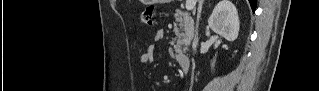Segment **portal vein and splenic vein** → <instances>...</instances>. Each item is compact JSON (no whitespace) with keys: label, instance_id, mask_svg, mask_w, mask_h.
Segmentation results:
<instances>
[{"label":"portal vein and splenic vein","instance_id":"1","mask_svg":"<svg viewBox=\"0 0 319 91\" xmlns=\"http://www.w3.org/2000/svg\"><path fill=\"white\" fill-rule=\"evenodd\" d=\"M195 5H196V1L194 0H186V9L188 11H191L195 8Z\"/></svg>","mask_w":319,"mask_h":91}]
</instances>
